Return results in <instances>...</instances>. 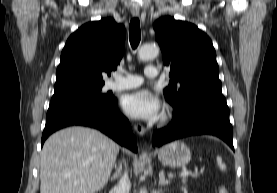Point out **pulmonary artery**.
<instances>
[{
  "label": "pulmonary artery",
  "instance_id": "1",
  "mask_svg": "<svg viewBox=\"0 0 277 193\" xmlns=\"http://www.w3.org/2000/svg\"><path fill=\"white\" fill-rule=\"evenodd\" d=\"M144 74L148 78H156L158 70L154 66H147ZM143 83V77L136 74L114 75L113 80L107 82L106 89L113 91H121L139 87Z\"/></svg>",
  "mask_w": 277,
  "mask_h": 193
}]
</instances>
